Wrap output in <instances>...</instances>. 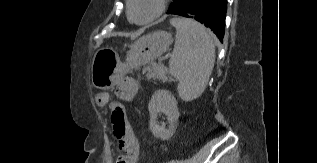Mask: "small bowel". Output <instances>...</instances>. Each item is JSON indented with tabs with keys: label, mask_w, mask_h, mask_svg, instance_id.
<instances>
[{
	"label": "small bowel",
	"mask_w": 317,
	"mask_h": 163,
	"mask_svg": "<svg viewBox=\"0 0 317 163\" xmlns=\"http://www.w3.org/2000/svg\"><path fill=\"white\" fill-rule=\"evenodd\" d=\"M137 91L138 85L132 78H120L116 83V94L122 100H132L136 96ZM113 134L117 140L119 151L115 163H137L140 148L132 127L127 124L123 133H117L113 129ZM107 157L109 159L108 161L111 163V152H108Z\"/></svg>",
	"instance_id": "c3829d8e"
}]
</instances>
